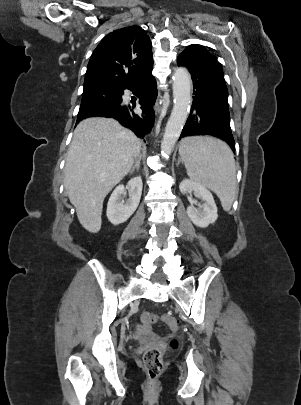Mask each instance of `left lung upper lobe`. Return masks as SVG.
<instances>
[{"label":"left lung upper lobe","mask_w":301,"mask_h":405,"mask_svg":"<svg viewBox=\"0 0 301 405\" xmlns=\"http://www.w3.org/2000/svg\"><path fill=\"white\" fill-rule=\"evenodd\" d=\"M180 55L189 56L197 60H200L203 63H206L208 67L215 70L224 79L223 71L218 61L203 46L192 44L188 46Z\"/></svg>","instance_id":"1"}]
</instances>
